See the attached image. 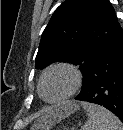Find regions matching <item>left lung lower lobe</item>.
Instances as JSON below:
<instances>
[{
  "instance_id": "1",
  "label": "left lung lower lobe",
  "mask_w": 123,
  "mask_h": 130,
  "mask_svg": "<svg viewBox=\"0 0 123 130\" xmlns=\"http://www.w3.org/2000/svg\"><path fill=\"white\" fill-rule=\"evenodd\" d=\"M102 105L123 121V31L93 62L75 98Z\"/></svg>"
}]
</instances>
